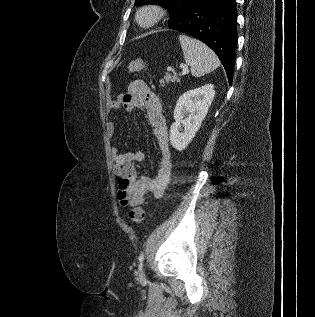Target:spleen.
Returning <instances> with one entry per match:
<instances>
[{
  "label": "spleen",
  "mask_w": 315,
  "mask_h": 317,
  "mask_svg": "<svg viewBox=\"0 0 315 317\" xmlns=\"http://www.w3.org/2000/svg\"><path fill=\"white\" fill-rule=\"evenodd\" d=\"M179 41L192 76L201 77L219 67L216 54L201 41L187 35H179Z\"/></svg>",
  "instance_id": "obj_1"
}]
</instances>
